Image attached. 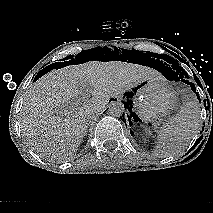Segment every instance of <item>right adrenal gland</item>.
Returning a JSON list of instances; mask_svg holds the SVG:
<instances>
[{
	"mask_svg": "<svg viewBox=\"0 0 213 213\" xmlns=\"http://www.w3.org/2000/svg\"><path fill=\"white\" fill-rule=\"evenodd\" d=\"M88 125H89V124L86 125V129H85V132H84V136H86V134H87Z\"/></svg>",
	"mask_w": 213,
	"mask_h": 213,
	"instance_id": "1",
	"label": "right adrenal gland"
}]
</instances>
